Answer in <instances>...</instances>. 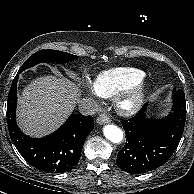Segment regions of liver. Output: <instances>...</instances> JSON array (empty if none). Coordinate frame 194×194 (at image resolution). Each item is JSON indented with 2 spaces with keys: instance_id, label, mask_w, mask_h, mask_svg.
Here are the masks:
<instances>
[{
  "instance_id": "liver-1",
  "label": "liver",
  "mask_w": 194,
  "mask_h": 194,
  "mask_svg": "<svg viewBox=\"0 0 194 194\" xmlns=\"http://www.w3.org/2000/svg\"><path fill=\"white\" fill-rule=\"evenodd\" d=\"M79 96L78 87L65 77L36 78L23 89L18 101L21 129L34 137L51 133L71 114Z\"/></svg>"
}]
</instances>
